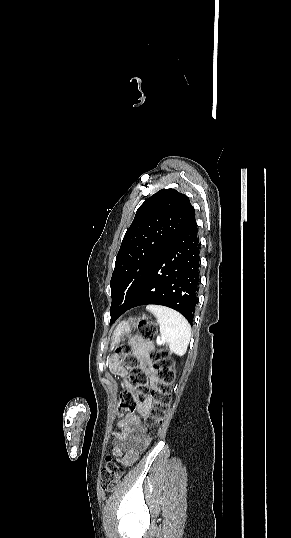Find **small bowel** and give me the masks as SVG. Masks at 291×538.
Returning <instances> with one entry per match:
<instances>
[{
  "label": "small bowel",
  "mask_w": 291,
  "mask_h": 538,
  "mask_svg": "<svg viewBox=\"0 0 291 538\" xmlns=\"http://www.w3.org/2000/svg\"><path fill=\"white\" fill-rule=\"evenodd\" d=\"M134 346L138 352L142 351V342L135 340ZM108 372L116 376L120 372V357L114 356L109 362ZM155 382V378L152 379ZM125 386L132 388L131 384L125 380ZM150 410V401H145L137 406L140 415H147ZM114 436V450L121 454V462L129 466L136 461L150 443V437L146 434L137 415L128 414L119 420L116 429L112 432Z\"/></svg>",
  "instance_id": "obj_1"
}]
</instances>
